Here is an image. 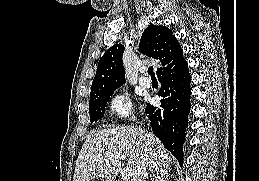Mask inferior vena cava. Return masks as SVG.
I'll return each mask as SVG.
<instances>
[{"instance_id":"obj_1","label":"inferior vena cava","mask_w":259,"mask_h":181,"mask_svg":"<svg viewBox=\"0 0 259 181\" xmlns=\"http://www.w3.org/2000/svg\"><path fill=\"white\" fill-rule=\"evenodd\" d=\"M147 168L146 167H143L141 169V172H140V176L138 177V181H146L147 177H148V172H147Z\"/></svg>"}]
</instances>
